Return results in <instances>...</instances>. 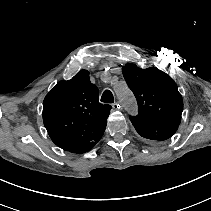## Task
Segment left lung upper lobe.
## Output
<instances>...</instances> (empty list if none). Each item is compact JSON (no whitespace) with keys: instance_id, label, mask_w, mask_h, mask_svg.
Returning a JSON list of instances; mask_svg holds the SVG:
<instances>
[{"instance_id":"obj_1","label":"left lung upper lobe","mask_w":211,"mask_h":211,"mask_svg":"<svg viewBox=\"0 0 211 211\" xmlns=\"http://www.w3.org/2000/svg\"><path fill=\"white\" fill-rule=\"evenodd\" d=\"M122 72L137 99L138 115L130 120L138 134L151 145L169 139L177 131L183 111L174 80L156 67L140 69L131 63Z\"/></svg>"}]
</instances>
